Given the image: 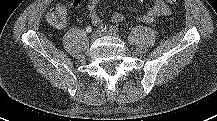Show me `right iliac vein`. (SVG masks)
Here are the masks:
<instances>
[{"mask_svg": "<svg viewBox=\"0 0 217 121\" xmlns=\"http://www.w3.org/2000/svg\"><path fill=\"white\" fill-rule=\"evenodd\" d=\"M101 35L100 31H95L94 33H92L91 35V40L95 41L99 36Z\"/></svg>", "mask_w": 217, "mask_h": 121, "instance_id": "1", "label": "right iliac vein"}]
</instances>
